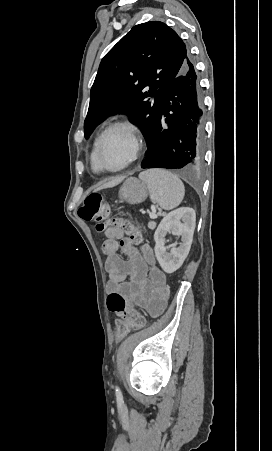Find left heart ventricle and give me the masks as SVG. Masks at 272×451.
Listing matches in <instances>:
<instances>
[{
	"mask_svg": "<svg viewBox=\"0 0 272 451\" xmlns=\"http://www.w3.org/2000/svg\"><path fill=\"white\" fill-rule=\"evenodd\" d=\"M129 144L121 131H112L105 138L98 163L107 170H118L129 158Z\"/></svg>",
	"mask_w": 272,
	"mask_h": 451,
	"instance_id": "left-heart-ventricle-1",
	"label": "left heart ventricle"
}]
</instances>
